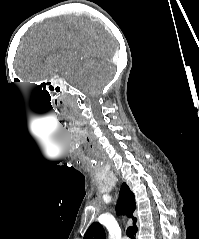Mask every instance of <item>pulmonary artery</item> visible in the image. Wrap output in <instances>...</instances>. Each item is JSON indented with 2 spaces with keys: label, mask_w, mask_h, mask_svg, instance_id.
<instances>
[{
  "label": "pulmonary artery",
  "mask_w": 199,
  "mask_h": 239,
  "mask_svg": "<svg viewBox=\"0 0 199 239\" xmlns=\"http://www.w3.org/2000/svg\"><path fill=\"white\" fill-rule=\"evenodd\" d=\"M123 239H128V237H124Z\"/></svg>",
  "instance_id": "obj_1"
}]
</instances>
